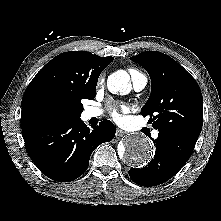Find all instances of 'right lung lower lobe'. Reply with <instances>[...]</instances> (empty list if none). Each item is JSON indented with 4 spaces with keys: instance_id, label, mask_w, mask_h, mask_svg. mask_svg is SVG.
I'll return each instance as SVG.
<instances>
[{
    "instance_id": "obj_1",
    "label": "right lung lower lobe",
    "mask_w": 221,
    "mask_h": 221,
    "mask_svg": "<svg viewBox=\"0 0 221 221\" xmlns=\"http://www.w3.org/2000/svg\"><path fill=\"white\" fill-rule=\"evenodd\" d=\"M115 132L109 120L90 129L80 118L40 123L22 130L32 161L45 176L60 182L81 176L93 150L111 141Z\"/></svg>"
}]
</instances>
